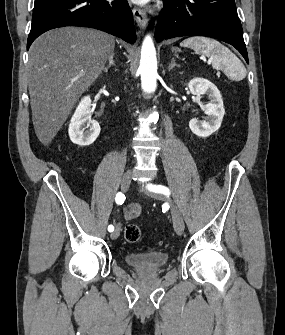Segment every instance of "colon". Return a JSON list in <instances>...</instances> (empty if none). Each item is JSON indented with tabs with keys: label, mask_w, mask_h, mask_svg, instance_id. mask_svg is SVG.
Instances as JSON below:
<instances>
[{
	"label": "colon",
	"mask_w": 285,
	"mask_h": 335,
	"mask_svg": "<svg viewBox=\"0 0 285 335\" xmlns=\"http://www.w3.org/2000/svg\"><path fill=\"white\" fill-rule=\"evenodd\" d=\"M141 229L136 224H129L124 230V237L128 243H137L141 239Z\"/></svg>",
	"instance_id": "1"
}]
</instances>
